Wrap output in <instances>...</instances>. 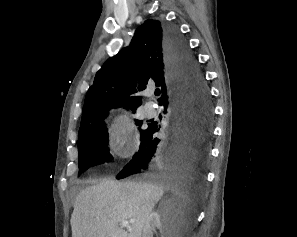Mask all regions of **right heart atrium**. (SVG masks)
I'll use <instances>...</instances> for the list:
<instances>
[{
	"label": "right heart atrium",
	"instance_id": "1",
	"mask_svg": "<svg viewBox=\"0 0 297 237\" xmlns=\"http://www.w3.org/2000/svg\"><path fill=\"white\" fill-rule=\"evenodd\" d=\"M111 135V148L116 152H121L129 143V129L124 120L118 119L109 128Z\"/></svg>",
	"mask_w": 297,
	"mask_h": 237
}]
</instances>
